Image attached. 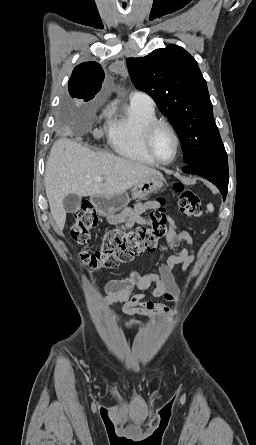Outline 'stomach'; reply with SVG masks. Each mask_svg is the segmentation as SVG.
Returning <instances> with one entry per match:
<instances>
[{"instance_id":"0dacf381","label":"stomach","mask_w":256,"mask_h":445,"mask_svg":"<svg viewBox=\"0 0 256 445\" xmlns=\"http://www.w3.org/2000/svg\"><path fill=\"white\" fill-rule=\"evenodd\" d=\"M164 178L162 175H152L135 184L131 189L133 199H142L147 195L160 190L164 186ZM127 193L104 196L98 195L92 198V202L97 212L104 217H112L117 212L127 207L130 202Z\"/></svg>"}]
</instances>
